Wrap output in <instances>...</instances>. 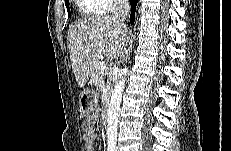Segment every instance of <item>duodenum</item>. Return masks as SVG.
Here are the masks:
<instances>
[{"mask_svg":"<svg viewBox=\"0 0 231 151\" xmlns=\"http://www.w3.org/2000/svg\"><path fill=\"white\" fill-rule=\"evenodd\" d=\"M109 107H110V96L106 95L104 98L103 108H102V122L104 125H106L107 123Z\"/></svg>","mask_w":231,"mask_h":151,"instance_id":"410a0bca","label":"duodenum"}]
</instances>
